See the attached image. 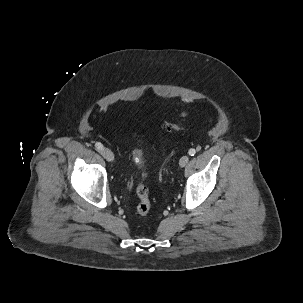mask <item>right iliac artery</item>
I'll return each instance as SVG.
<instances>
[{
    "label": "right iliac artery",
    "instance_id": "82829eb1",
    "mask_svg": "<svg viewBox=\"0 0 303 303\" xmlns=\"http://www.w3.org/2000/svg\"><path fill=\"white\" fill-rule=\"evenodd\" d=\"M95 147H96V149L99 150V151H101V150L103 149V145H102L101 143H99V142H97V143L95 144Z\"/></svg>",
    "mask_w": 303,
    "mask_h": 303
}]
</instances>
